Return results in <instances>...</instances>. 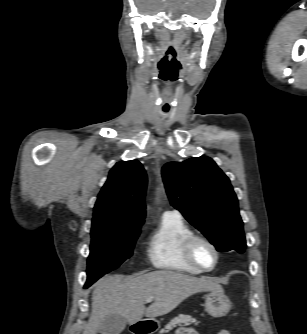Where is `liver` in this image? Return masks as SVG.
Instances as JSON below:
<instances>
[{"instance_id":"obj_1","label":"liver","mask_w":307,"mask_h":334,"mask_svg":"<svg viewBox=\"0 0 307 334\" xmlns=\"http://www.w3.org/2000/svg\"><path fill=\"white\" fill-rule=\"evenodd\" d=\"M214 290L221 291L222 287L211 279L168 270L128 278L104 276L95 284L92 312L83 334H96L100 323L110 314H119L134 324L143 316L168 314L194 293ZM148 298L154 302L145 307Z\"/></svg>"}]
</instances>
